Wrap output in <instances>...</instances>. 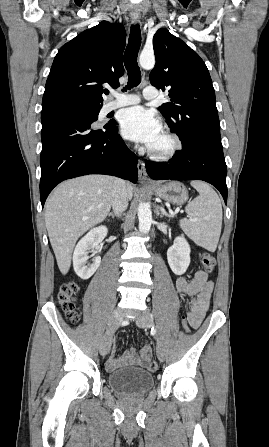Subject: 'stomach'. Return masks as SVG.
Returning a JSON list of instances; mask_svg holds the SVG:
<instances>
[{
	"label": "stomach",
	"mask_w": 269,
	"mask_h": 447,
	"mask_svg": "<svg viewBox=\"0 0 269 447\" xmlns=\"http://www.w3.org/2000/svg\"><path fill=\"white\" fill-rule=\"evenodd\" d=\"M152 190L158 198H162V200H166V202H170V204H177V206L185 204L188 200V192L185 186L180 184V182L154 184V186H152Z\"/></svg>",
	"instance_id": "stomach-1"
}]
</instances>
